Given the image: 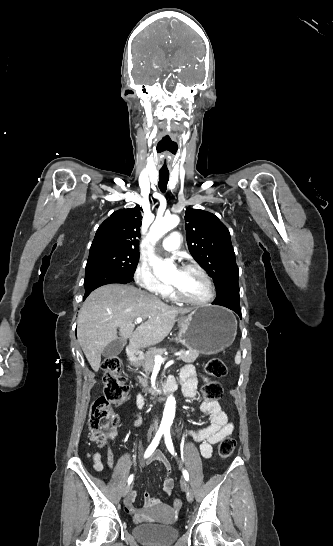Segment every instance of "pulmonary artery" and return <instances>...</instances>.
I'll list each match as a JSON object with an SVG mask.
<instances>
[{"label":"pulmonary artery","mask_w":333,"mask_h":546,"mask_svg":"<svg viewBox=\"0 0 333 546\" xmlns=\"http://www.w3.org/2000/svg\"><path fill=\"white\" fill-rule=\"evenodd\" d=\"M181 244V234L179 232H172L162 241V248L168 252L176 251Z\"/></svg>","instance_id":"1"}]
</instances>
